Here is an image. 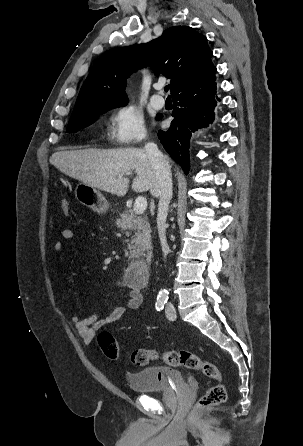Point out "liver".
Instances as JSON below:
<instances>
[{
  "mask_svg": "<svg viewBox=\"0 0 303 446\" xmlns=\"http://www.w3.org/2000/svg\"><path fill=\"white\" fill-rule=\"evenodd\" d=\"M50 162L65 175L117 196L128 192L127 175L134 171L132 189L135 192L149 190L153 196H158V183L144 149L58 151Z\"/></svg>",
  "mask_w": 303,
  "mask_h": 446,
  "instance_id": "6515ba94",
  "label": "liver"
}]
</instances>
